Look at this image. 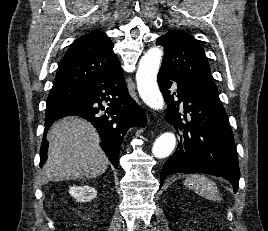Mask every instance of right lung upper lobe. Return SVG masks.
<instances>
[{
	"instance_id": "obj_1",
	"label": "right lung upper lobe",
	"mask_w": 268,
	"mask_h": 231,
	"mask_svg": "<svg viewBox=\"0 0 268 231\" xmlns=\"http://www.w3.org/2000/svg\"><path fill=\"white\" fill-rule=\"evenodd\" d=\"M114 44L102 31H92L75 40L58 66L53 88H83L119 63ZM59 105V104H58ZM55 105H50L52 107Z\"/></svg>"
}]
</instances>
